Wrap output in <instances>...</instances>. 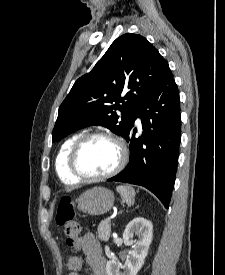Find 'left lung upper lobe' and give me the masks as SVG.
I'll list each match as a JSON object with an SVG mask.
<instances>
[{
	"label": "left lung upper lobe",
	"mask_w": 225,
	"mask_h": 275,
	"mask_svg": "<svg viewBox=\"0 0 225 275\" xmlns=\"http://www.w3.org/2000/svg\"><path fill=\"white\" fill-rule=\"evenodd\" d=\"M169 71L167 61L143 36H120L94 68L74 83L59 107L52 142L92 125L125 138L143 100Z\"/></svg>",
	"instance_id": "5c2ea615"
}]
</instances>
